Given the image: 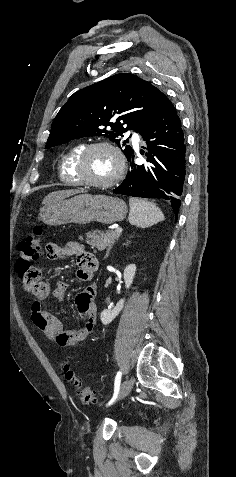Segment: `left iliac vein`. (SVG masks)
<instances>
[{
  "label": "left iliac vein",
  "instance_id": "obj_1",
  "mask_svg": "<svg viewBox=\"0 0 236 477\" xmlns=\"http://www.w3.org/2000/svg\"><path fill=\"white\" fill-rule=\"evenodd\" d=\"M133 380L132 379H126L122 384H121V387H120V390H119V394H118V400H122L123 398H125L132 390L133 388ZM117 404L115 403H111L110 404V410L113 409ZM106 412H108L109 410L106 409L105 410Z\"/></svg>",
  "mask_w": 236,
  "mask_h": 477
}]
</instances>
